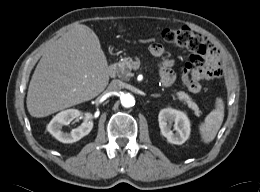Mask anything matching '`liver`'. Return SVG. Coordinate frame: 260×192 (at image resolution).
Wrapping results in <instances>:
<instances>
[{"instance_id": "6515ba94", "label": "liver", "mask_w": 260, "mask_h": 192, "mask_svg": "<svg viewBox=\"0 0 260 192\" xmlns=\"http://www.w3.org/2000/svg\"><path fill=\"white\" fill-rule=\"evenodd\" d=\"M106 56L97 35L86 26L63 34L43 54L32 75L27 109L33 117L88 101L106 88Z\"/></svg>"}]
</instances>
